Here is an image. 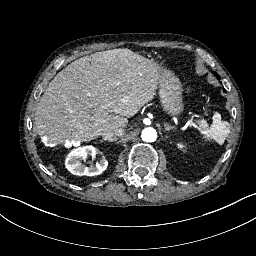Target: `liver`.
Wrapping results in <instances>:
<instances>
[{"instance_id":"liver-1","label":"liver","mask_w":256,"mask_h":256,"mask_svg":"<svg viewBox=\"0 0 256 256\" xmlns=\"http://www.w3.org/2000/svg\"><path fill=\"white\" fill-rule=\"evenodd\" d=\"M160 73L127 48L81 57L46 88L36 107L37 133L47 143H81L125 127L154 98Z\"/></svg>"}]
</instances>
